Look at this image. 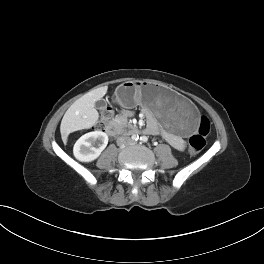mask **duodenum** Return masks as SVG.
<instances>
[{
    "mask_svg": "<svg viewBox=\"0 0 264 264\" xmlns=\"http://www.w3.org/2000/svg\"><path fill=\"white\" fill-rule=\"evenodd\" d=\"M105 130L107 134L110 136H116L120 134H130L138 131V129H136L133 126L124 125L121 122H115V121L109 122L106 125Z\"/></svg>",
    "mask_w": 264,
    "mask_h": 264,
    "instance_id": "obj_1",
    "label": "duodenum"
}]
</instances>
